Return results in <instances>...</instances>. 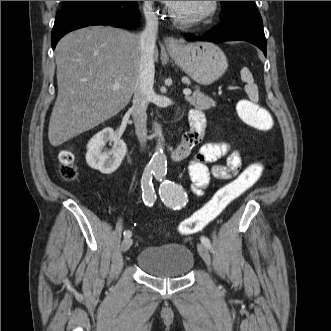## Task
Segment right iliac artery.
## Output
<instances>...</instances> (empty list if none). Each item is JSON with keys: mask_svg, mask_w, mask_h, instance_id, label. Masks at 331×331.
<instances>
[{"mask_svg": "<svg viewBox=\"0 0 331 331\" xmlns=\"http://www.w3.org/2000/svg\"><path fill=\"white\" fill-rule=\"evenodd\" d=\"M154 174V168L147 166L144 170L141 182V188L143 191L142 198L146 205L152 206L156 200V194L152 183V175ZM124 237H131L130 230L124 231Z\"/></svg>", "mask_w": 331, "mask_h": 331, "instance_id": "right-iliac-artery-1", "label": "right iliac artery"}]
</instances>
